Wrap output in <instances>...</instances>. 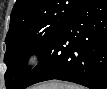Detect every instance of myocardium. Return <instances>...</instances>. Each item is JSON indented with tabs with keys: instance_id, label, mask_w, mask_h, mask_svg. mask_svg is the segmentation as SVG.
I'll return each mask as SVG.
<instances>
[{
	"instance_id": "1",
	"label": "myocardium",
	"mask_w": 107,
	"mask_h": 89,
	"mask_svg": "<svg viewBox=\"0 0 107 89\" xmlns=\"http://www.w3.org/2000/svg\"><path fill=\"white\" fill-rule=\"evenodd\" d=\"M40 58L41 57H40L39 53L33 52V53L29 54L28 57L26 58V63L29 66H34L39 63Z\"/></svg>"
}]
</instances>
